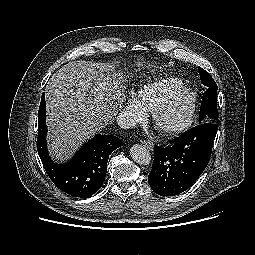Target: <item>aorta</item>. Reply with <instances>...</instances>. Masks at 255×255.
Masks as SVG:
<instances>
[{
    "label": "aorta",
    "mask_w": 255,
    "mask_h": 255,
    "mask_svg": "<svg viewBox=\"0 0 255 255\" xmlns=\"http://www.w3.org/2000/svg\"><path fill=\"white\" fill-rule=\"evenodd\" d=\"M132 159L140 165H148L151 161L149 151L140 144H135L130 149Z\"/></svg>",
    "instance_id": "aorta-1"
}]
</instances>
